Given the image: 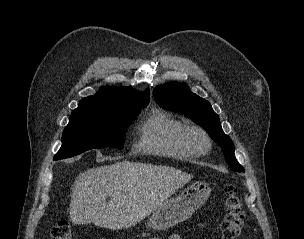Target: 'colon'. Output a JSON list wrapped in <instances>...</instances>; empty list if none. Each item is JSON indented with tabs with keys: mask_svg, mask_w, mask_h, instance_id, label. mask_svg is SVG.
I'll list each match as a JSON object with an SVG mask.
<instances>
[{
	"mask_svg": "<svg viewBox=\"0 0 304 239\" xmlns=\"http://www.w3.org/2000/svg\"><path fill=\"white\" fill-rule=\"evenodd\" d=\"M226 214L221 223L222 239H237L243 229L245 211L243 203L233 185L225 188ZM53 239H73L70 225L67 221L61 220L51 228Z\"/></svg>",
	"mask_w": 304,
	"mask_h": 239,
	"instance_id": "colon-1",
	"label": "colon"
}]
</instances>
